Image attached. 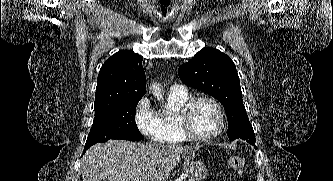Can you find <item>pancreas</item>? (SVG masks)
Segmentation results:
<instances>
[{"mask_svg":"<svg viewBox=\"0 0 333 181\" xmlns=\"http://www.w3.org/2000/svg\"><path fill=\"white\" fill-rule=\"evenodd\" d=\"M185 181H195L194 179L192 178H189L188 180H185Z\"/></svg>","mask_w":333,"mask_h":181,"instance_id":"1","label":"pancreas"}]
</instances>
